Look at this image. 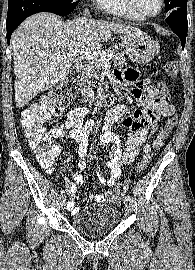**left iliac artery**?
I'll return each instance as SVG.
<instances>
[{
  "mask_svg": "<svg viewBox=\"0 0 195 270\" xmlns=\"http://www.w3.org/2000/svg\"><path fill=\"white\" fill-rule=\"evenodd\" d=\"M126 199H127L129 202H132V199H131V196H130V195H127Z\"/></svg>",
  "mask_w": 195,
  "mask_h": 270,
  "instance_id": "44dca946",
  "label": "left iliac artery"
}]
</instances>
